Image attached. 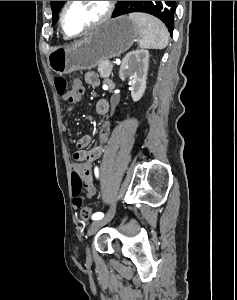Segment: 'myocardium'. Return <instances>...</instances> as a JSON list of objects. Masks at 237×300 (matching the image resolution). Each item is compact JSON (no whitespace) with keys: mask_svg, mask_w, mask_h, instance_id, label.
<instances>
[{"mask_svg":"<svg viewBox=\"0 0 237 300\" xmlns=\"http://www.w3.org/2000/svg\"><path fill=\"white\" fill-rule=\"evenodd\" d=\"M72 2L73 1L65 2V4L63 5V7L61 9L60 17H59V25H60L61 33L63 34V36H65L66 38H69V39H74V38L80 37V36L86 34L87 32L95 30V29L101 27L102 25L106 24L111 19L113 12H114V8H115V1H105V11H104L103 15L97 21H95L91 25L87 26L79 33L70 35L65 30L64 17H65L67 8L70 6V4Z\"/></svg>","mask_w":237,"mask_h":300,"instance_id":"f54148a6","label":"myocardium"}]
</instances>
